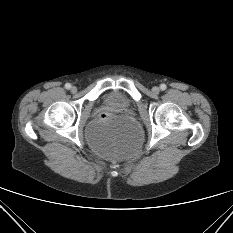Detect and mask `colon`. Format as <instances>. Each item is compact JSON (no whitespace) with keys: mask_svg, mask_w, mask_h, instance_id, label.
Segmentation results:
<instances>
[{"mask_svg":"<svg viewBox=\"0 0 233 233\" xmlns=\"http://www.w3.org/2000/svg\"><path fill=\"white\" fill-rule=\"evenodd\" d=\"M102 117H106V115H105V114H103V115H102Z\"/></svg>","mask_w":233,"mask_h":233,"instance_id":"colon-1","label":"colon"}]
</instances>
